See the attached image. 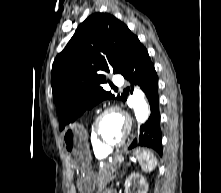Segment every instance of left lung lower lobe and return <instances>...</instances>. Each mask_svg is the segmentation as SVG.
I'll use <instances>...</instances> for the list:
<instances>
[{
	"label": "left lung lower lobe",
	"instance_id": "left-lung-lower-lobe-1",
	"mask_svg": "<svg viewBox=\"0 0 221 193\" xmlns=\"http://www.w3.org/2000/svg\"><path fill=\"white\" fill-rule=\"evenodd\" d=\"M121 75L133 84H138L148 98L151 114L140 127L139 135L129 146L148 147L162 155V135L160 131V114L158 99V77L146 48L140 41L134 47ZM126 100V98H125Z\"/></svg>",
	"mask_w": 221,
	"mask_h": 193
}]
</instances>
